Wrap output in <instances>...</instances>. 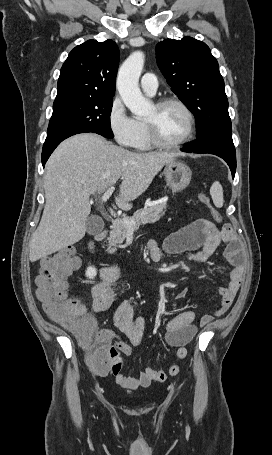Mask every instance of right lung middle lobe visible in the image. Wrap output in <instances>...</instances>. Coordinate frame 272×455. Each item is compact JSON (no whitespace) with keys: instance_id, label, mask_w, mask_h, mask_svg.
I'll return each mask as SVG.
<instances>
[{"instance_id":"right-lung-middle-lobe-1","label":"right lung middle lobe","mask_w":272,"mask_h":455,"mask_svg":"<svg viewBox=\"0 0 272 455\" xmlns=\"http://www.w3.org/2000/svg\"><path fill=\"white\" fill-rule=\"evenodd\" d=\"M113 98H81L55 101L48 137L69 131H87L113 138L110 115Z\"/></svg>"}]
</instances>
